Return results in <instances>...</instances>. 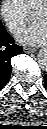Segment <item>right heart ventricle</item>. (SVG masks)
Wrapping results in <instances>:
<instances>
[{
  "mask_svg": "<svg viewBox=\"0 0 47 129\" xmlns=\"http://www.w3.org/2000/svg\"><path fill=\"white\" fill-rule=\"evenodd\" d=\"M28 11H33L39 6L44 0H21Z\"/></svg>",
  "mask_w": 47,
  "mask_h": 129,
  "instance_id": "1",
  "label": "right heart ventricle"
}]
</instances>
